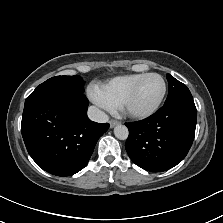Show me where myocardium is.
<instances>
[{
	"label": "myocardium",
	"mask_w": 223,
	"mask_h": 223,
	"mask_svg": "<svg viewBox=\"0 0 223 223\" xmlns=\"http://www.w3.org/2000/svg\"><path fill=\"white\" fill-rule=\"evenodd\" d=\"M149 76H157L161 79L162 81V92L160 94V97L158 98L157 102L155 103V105L144 112H136V111H132L128 108L129 103L131 102L132 98L134 97V95L136 94L140 84L142 83V81ZM166 94V82L164 80V78L158 74V73H146L144 74L136 83L135 85L128 91V93L125 95V97L122 99L119 107H118V111L116 112V115L120 118H130V119H137V120H142V119H147L151 116H153L160 108L162 101L165 97Z\"/></svg>",
	"instance_id": "f54148a6"
}]
</instances>
